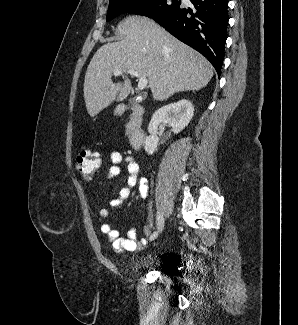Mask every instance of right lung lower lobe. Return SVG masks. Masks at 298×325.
<instances>
[{"instance_id": "98d812e1", "label": "right lung lower lobe", "mask_w": 298, "mask_h": 325, "mask_svg": "<svg viewBox=\"0 0 298 325\" xmlns=\"http://www.w3.org/2000/svg\"><path fill=\"white\" fill-rule=\"evenodd\" d=\"M192 8H173L153 19L204 55L220 74L227 39L228 0H190Z\"/></svg>"}]
</instances>
